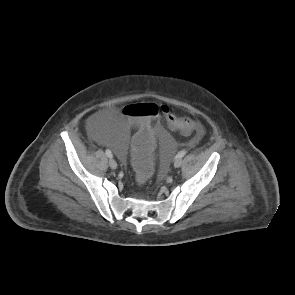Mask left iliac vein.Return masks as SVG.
<instances>
[{"label": "left iliac vein", "instance_id": "1", "mask_svg": "<svg viewBox=\"0 0 295 295\" xmlns=\"http://www.w3.org/2000/svg\"><path fill=\"white\" fill-rule=\"evenodd\" d=\"M182 163H183L182 158H178V159H176V160L174 161V167H175V168H178V167H180V166L182 165Z\"/></svg>", "mask_w": 295, "mask_h": 295}]
</instances>
